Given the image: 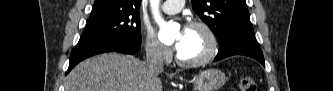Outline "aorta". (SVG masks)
<instances>
[{"instance_id":"aorta-1","label":"aorta","mask_w":333,"mask_h":91,"mask_svg":"<svg viewBox=\"0 0 333 91\" xmlns=\"http://www.w3.org/2000/svg\"><path fill=\"white\" fill-rule=\"evenodd\" d=\"M158 4H159V0H151V7L153 10V14L155 16V20L158 23L160 30H159V34L158 37L161 41H172L174 39V31L177 27V25H175L172 22H165L159 12H158Z\"/></svg>"}]
</instances>
